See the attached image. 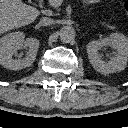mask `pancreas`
Segmentation results:
<instances>
[{"label": "pancreas", "mask_w": 128, "mask_h": 128, "mask_svg": "<svg viewBox=\"0 0 128 128\" xmlns=\"http://www.w3.org/2000/svg\"><path fill=\"white\" fill-rule=\"evenodd\" d=\"M54 8H57V7H54ZM105 26H106V28H108V29H115L114 26H111V25H108V24H105Z\"/></svg>", "instance_id": "1"}]
</instances>
